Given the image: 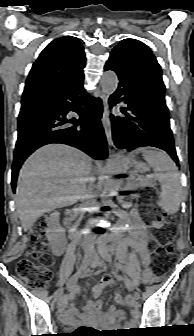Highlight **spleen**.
Masks as SVG:
<instances>
[{"mask_svg": "<svg viewBox=\"0 0 194 336\" xmlns=\"http://www.w3.org/2000/svg\"><path fill=\"white\" fill-rule=\"evenodd\" d=\"M143 157L151 166L161 184L160 205L168 213L179 210L181 185L178 169L172 159L163 151L144 149Z\"/></svg>", "mask_w": 194, "mask_h": 336, "instance_id": "obj_1", "label": "spleen"}]
</instances>
